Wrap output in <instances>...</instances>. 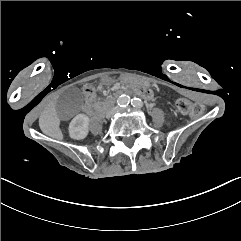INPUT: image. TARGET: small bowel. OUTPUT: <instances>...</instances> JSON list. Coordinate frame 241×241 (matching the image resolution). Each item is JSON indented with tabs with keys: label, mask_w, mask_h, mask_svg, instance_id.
<instances>
[{
	"label": "small bowel",
	"mask_w": 241,
	"mask_h": 241,
	"mask_svg": "<svg viewBox=\"0 0 241 241\" xmlns=\"http://www.w3.org/2000/svg\"><path fill=\"white\" fill-rule=\"evenodd\" d=\"M85 99H86V111L89 112L92 105L95 103L96 100V91L91 86H84L83 88Z\"/></svg>",
	"instance_id": "1"
}]
</instances>
